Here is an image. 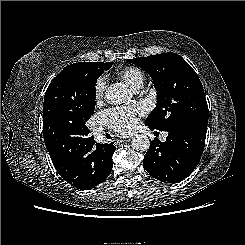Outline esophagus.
Returning <instances> with one entry per match:
<instances>
[{"instance_id": "34e87169", "label": "esophagus", "mask_w": 245, "mask_h": 245, "mask_svg": "<svg viewBox=\"0 0 245 245\" xmlns=\"http://www.w3.org/2000/svg\"><path fill=\"white\" fill-rule=\"evenodd\" d=\"M131 139H132V137H127V138H125V139H123V140H120L119 142H120V143H121V142H129Z\"/></svg>"}]
</instances>
